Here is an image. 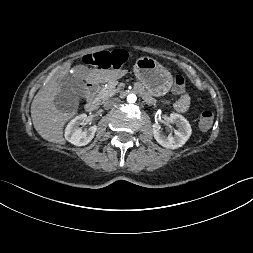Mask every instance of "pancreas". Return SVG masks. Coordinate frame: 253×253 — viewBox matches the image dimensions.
Returning a JSON list of instances; mask_svg holds the SVG:
<instances>
[{
    "instance_id": "cf45deb5",
    "label": "pancreas",
    "mask_w": 253,
    "mask_h": 253,
    "mask_svg": "<svg viewBox=\"0 0 253 253\" xmlns=\"http://www.w3.org/2000/svg\"><path fill=\"white\" fill-rule=\"evenodd\" d=\"M119 91H120V87L118 86L116 88L114 82H111L100 89V91L98 92V99L105 101L109 97L115 95Z\"/></svg>"
}]
</instances>
